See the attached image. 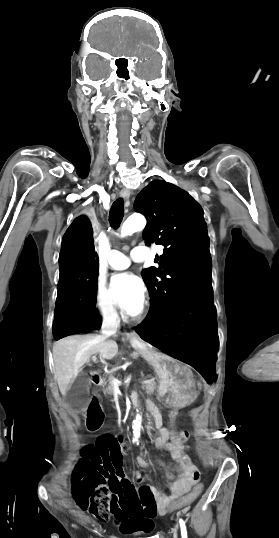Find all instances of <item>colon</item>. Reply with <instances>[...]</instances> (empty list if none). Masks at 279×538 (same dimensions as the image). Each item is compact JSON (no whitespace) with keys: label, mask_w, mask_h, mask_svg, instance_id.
<instances>
[{"label":"colon","mask_w":279,"mask_h":538,"mask_svg":"<svg viewBox=\"0 0 279 538\" xmlns=\"http://www.w3.org/2000/svg\"><path fill=\"white\" fill-rule=\"evenodd\" d=\"M189 437L182 431L177 441L183 446ZM127 452L125 438L115 433L101 435L94 444L85 445L81 450V459L74 471L73 496L82 509H88L99 520L110 516L127 518L154 517L157 512L166 513L192 503L201 493L202 485L197 460L190 452L183 450L181 463L184 476L197 483L190 492L171 501L159 509L155 498V489L149 485L136 486L125 475L123 456ZM136 482H142L137 475Z\"/></svg>","instance_id":"colon-1"}]
</instances>
